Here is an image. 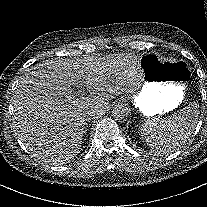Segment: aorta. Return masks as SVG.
<instances>
[{
  "label": "aorta",
  "mask_w": 207,
  "mask_h": 207,
  "mask_svg": "<svg viewBox=\"0 0 207 207\" xmlns=\"http://www.w3.org/2000/svg\"><path fill=\"white\" fill-rule=\"evenodd\" d=\"M129 115H130L129 109L125 104H118L112 110V116L114 120L119 122L126 121L129 118Z\"/></svg>",
  "instance_id": "aorta-1"
}]
</instances>
